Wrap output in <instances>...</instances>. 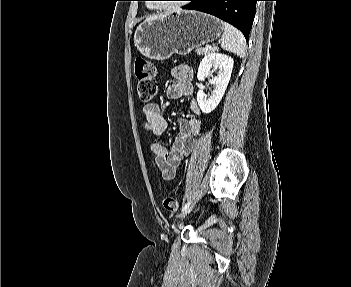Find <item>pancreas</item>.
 Segmentation results:
<instances>
[{
  "instance_id": "obj_1",
  "label": "pancreas",
  "mask_w": 351,
  "mask_h": 287,
  "mask_svg": "<svg viewBox=\"0 0 351 287\" xmlns=\"http://www.w3.org/2000/svg\"><path fill=\"white\" fill-rule=\"evenodd\" d=\"M209 51H211V50L205 51L204 48H202V47H197L196 50H195V52H196L198 55L207 54Z\"/></svg>"
}]
</instances>
